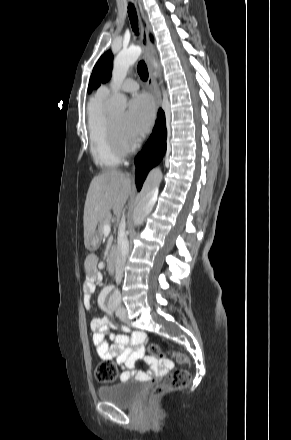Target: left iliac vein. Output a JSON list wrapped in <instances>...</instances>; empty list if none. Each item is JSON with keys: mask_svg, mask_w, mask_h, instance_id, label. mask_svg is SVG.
Returning a JSON list of instances; mask_svg holds the SVG:
<instances>
[{"mask_svg": "<svg viewBox=\"0 0 291 440\" xmlns=\"http://www.w3.org/2000/svg\"><path fill=\"white\" fill-rule=\"evenodd\" d=\"M116 315L120 318V320H122L123 322H127L128 318H127V311L125 309V307H120L116 310Z\"/></svg>", "mask_w": 291, "mask_h": 440, "instance_id": "1", "label": "left iliac vein"}]
</instances>
